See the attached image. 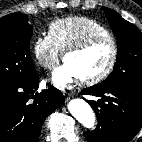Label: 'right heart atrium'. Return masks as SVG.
<instances>
[{"label": "right heart atrium", "instance_id": "d8ad5b80", "mask_svg": "<svg viewBox=\"0 0 142 142\" xmlns=\"http://www.w3.org/2000/svg\"><path fill=\"white\" fill-rule=\"evenodd\" d=\"M32 50L36 62L42 68L51 69L58 62L60 51L47 34L34 39Z\"/></svg>", "mask_w": 142, "mask_h": 142}]
</instances>
